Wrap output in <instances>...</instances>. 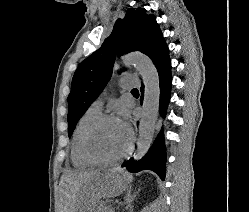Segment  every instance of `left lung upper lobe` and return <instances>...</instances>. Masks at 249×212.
Instances as JSON below:
<instances>
[{
	"mask_svg": "<svg viewBox=\"0 0 249 212\" xmlns=\"http://www.w3.org/2000/svg\"><path fill=\"white\" fill-rule=\"evenodd\" d=\"M130 8L124 19L115 22L113 32L102 46L78 66L68 96V135L110 80L115 58L140 51L154 60L166 42L153 14Z\"/></svg>",
	"mask_w": 249,
	"mask_h": 212,
	"instance_id": "left-lung-upper-lobe-1",
	"label": "left lung upper lobe"
}]
</instances>
